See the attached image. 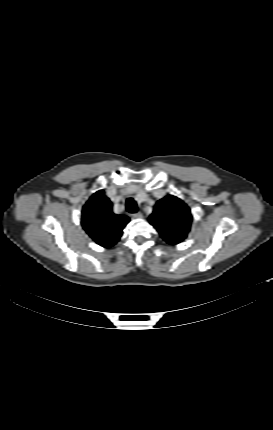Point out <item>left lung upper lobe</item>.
Instances as JSON below:
<instances>
[{"mask_svg": "<svg viewBox=\"0 0 273 430\" xmlns=\"http://www.w3.org/2000/svg\"><path fill=\"white\" fill-rule=\"evenodd\" d=\"M192 215L189 207L179 198L168 195L159 200L149 217L160 236L169 244L183 241L190 230Z\"/></svg>", "mask_w": 273, "mask_h": 430, "instance_id": "left-lung-upper-lobe-1", "label": "left lung upper lobe"}]
</instances>
